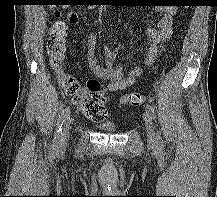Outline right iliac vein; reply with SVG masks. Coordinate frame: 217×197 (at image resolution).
<instances>
[{
	"label": "right iliac vein",
	"mask_w": 217,
	"mask_h": 197,
	"mask_svg": "<svg viewBox=\"0 0 217 197\" xmlns=\"http://www.w3.org/2000/svg\"><path fill=\"white\" fill-rule=\"evenodd\" d=\"M71 124H72V119L68 118L63 127V132L59 142L60 146H65L67 144L70 135Z\"/></svg>",
	"instance_id": "1"
}]
</instances>
